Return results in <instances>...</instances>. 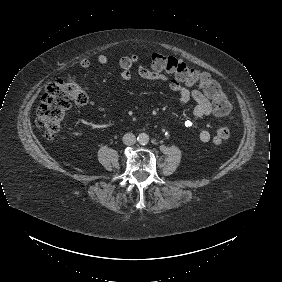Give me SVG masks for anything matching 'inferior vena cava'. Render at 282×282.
Segmentation results:
<instances>
[{"instance_id": "inferior-vena-cava-1", "label": "inferior vena cava", "mask_w": 282, "mask_h": 282, "mask_svg": "<svg viewBox=\"0 0 282 282\" xmlns=\"http://www.w3.org/2000/svg\"><path fill=\"white\" fill-rule=\"evenodd\" d=\"M122 141L125 145L131 146L136 143V137L133 133L124 134Z\"/></svg>"}]
</instances>
